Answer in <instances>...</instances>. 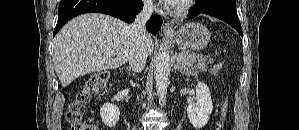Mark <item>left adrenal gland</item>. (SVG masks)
Returning a JSON list of instances; mask_svg holds the SVG:
<instances>
[{"label": "left adrenal gland", "instance_id": "obj_1", "mask_svg": "<svg viewBox=\"0 0 299 130\" xmlns=\"http://www.w3.org/2000/svg\"><path fill=\"white\" fill-rule=\"evenodd\" d=\"M174 69H175V70H178V71H180V72L183 71L179 63H177V64L174 66Z\"/></svg>", "mask_w": 299, "mask_h": 130}]
</instances>
